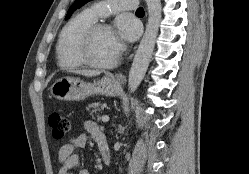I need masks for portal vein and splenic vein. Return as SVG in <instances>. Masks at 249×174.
I'll use <instances>...</instances> for the list:
<instances>
[{
	"label": "portal vein and splenic vein",
	"instance_id": "obj_1",
	"mask_svg": "<svg viewBox=\"0 0 249 174\" xmlns=\"http://www.w3.org/2000/svg\"><path fill=\"white\" fill-rule=\"evenodd\" d=\"M102 121L103 122H108L109 121V116L108 115H103L102 116Z\"/></svg>",
	"mask_w": 249,
	"mask_h": 174
}]
</instances>
